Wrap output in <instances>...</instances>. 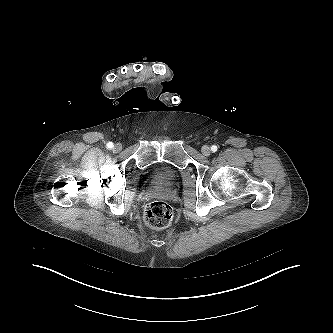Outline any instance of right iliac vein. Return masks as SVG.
I'll return each instance as SVG.
<instances>
[{"instance_id":"obj_1","label":"right iliac vein","mask_w":333,"mask_h":333,"mask_svg":"<svg viewBox=\"0 0 333 333\" xmlns=\"http://www.w3.org/2000/svg\"><path fill=\"white\" fill-rule=\"evenodd\" d=\"M122 149V146L120 144H116L113 148L115 152H119Z\"/></svg>"}]
</instances>
